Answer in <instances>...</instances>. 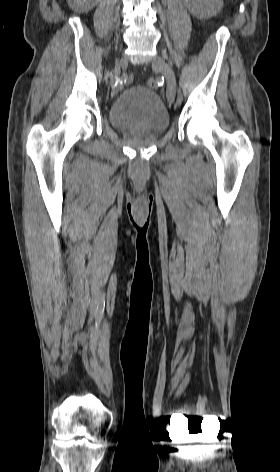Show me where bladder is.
I'll return each instance as SVG.
<instances>
[{"label":"bladder","instance_id":"31cf9c89","mask_svg":"<svg viewBox=\"0 0 280 472\" xmlns=\"http://www.w3.org/2000/svg\"><path fill=\"white\" fill-rule=\"evenodd\" d=\"M108 118L121 130L163 132L169 126V113L159 95L141 85L122 91L110 105Z\"/></svg>","mask_w":280,"mask_h":472}]
</instances>
